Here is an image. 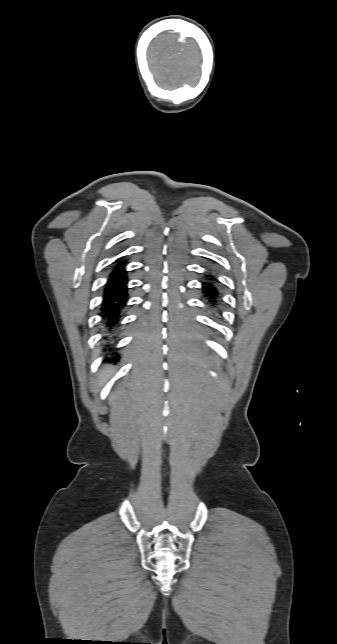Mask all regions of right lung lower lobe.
I'll return each instance as SVG.
<instances>
[{
	"mask_svg": "<svg viewBox=\"0 0 337 644\" xmlns=\"http://www.w3.org/2000/svg\"><path fill=\"white\" fill-rule=\"evenodd\" d=\"M125 266V262L117 260L104 287L100 314L109 334H113L118 329L122 310L128 300Z\"/></svg>",
	"mask_w": 337,
	"mask_h": 644,
	"instance_id": "obj_1",
	"label": "right lung lower lobe"
}]
</instances>
